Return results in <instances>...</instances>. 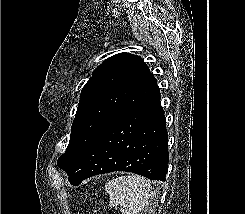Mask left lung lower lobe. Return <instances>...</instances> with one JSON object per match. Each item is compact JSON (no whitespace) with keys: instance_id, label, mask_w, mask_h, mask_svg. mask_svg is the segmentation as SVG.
Returning <instances> with one entry per match:
<instances>
[{"instance_id":"0a47b994","label":"left lung lower lobe","mask_w":245,"mask_h":214,"mask_svg":"<svg viewBox=\"0 0 245 214\" xmlns=\"http://www.w3.org/2000/svg\"><path fill=\"white\" fill-rule=\"evenodd\" d=\"M168 134L159 88L109 125L68 173L77 186L95 175L126 171L165 181Z\"/></svg>"}]
</instances>
